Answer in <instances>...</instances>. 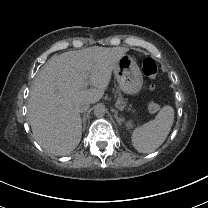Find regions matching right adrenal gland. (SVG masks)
<instances>
[{
	"mask_svg": "<svg viewBox=\"0 0 208 208\" xmlns=\"http://www.w3.org/2000/svg\"><path fill=\"white\" fill-rule=\"evenodd\" d=\"M82 120H83V124H84V126H85V124H86V123H85V113H84V115H83V119H82Z\"/></svg>",
	"mask_w": 208,
	"mask_h": 208,
	"instance_id": "1",
	"label": "right adrenal gland"
}]
</instances>
